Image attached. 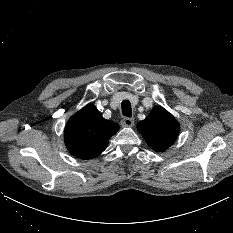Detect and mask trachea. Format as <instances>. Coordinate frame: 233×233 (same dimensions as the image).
Listing matches in <instances>:
<instances>
[{
    "label": "trachea",
    "mask_w": 233,
    "mask_h": 233,
    "mask_svg": "<svg viewBox=\"0 0 233 233\" xmlns=\"http://www.w3.org/2000/svg\"><path fill=\"white\" fill-rule=\"evenodd\" d=\"M121 108H122V114L126 117H131L132 115V109H131V104L128 100H123L121 103Z\"/></svg>",
    "instance_id": "obj_1"
}]
</instances>
